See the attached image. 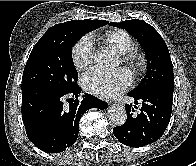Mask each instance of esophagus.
Segmentation results:
<instances>
[{
    "instance_id": "esophagus-1",
    "label": "esophagus",
    "mask_w": 196,
    "mask_h": 166,
    "mask_svg": "<svg viewBox=\"0 0 196 166\" xmlns=\"http://www.w3.org/2000/svg\"><path fill=\"white\" fill-rule=\"evenodd\" d=\"M108 103L111 104V105H115L116 104V102H114V101H108Z\"/></svg>"
}]
</instances>
